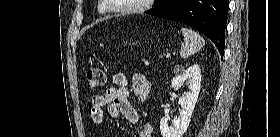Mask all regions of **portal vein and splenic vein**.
<instances>
[{
    "label": "portal vein and splenic vein",
    "instance_id": "portal-vein-and-splenic-vein-1",
    "mask_svg": "<svg viewBox=\"0 0 280 137\" xmlns=\"http://www.w3.org/2000/svg\"><path fill=\"white\" fill-rule=\"evenodd\" d=\"M169 57H170V53H167V54H166V58H169Z\"/></svg>",
    "mask_w": 280,
    "mask_h": 137
}]
</instances>
